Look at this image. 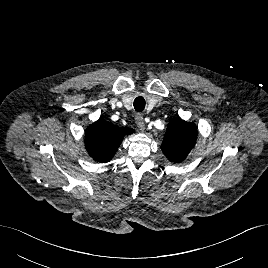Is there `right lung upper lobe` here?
<instances>
[{
	"instance_id": "right-lung-upper-lobe-1",
	"label": "right lung upper lobe",
	"mask_w": 268,
	"mask_h": 268,
	"mask_svg": "<svg viewBox=\"0 0 268 268\" xmlns=\"http://www.w3.org/2000/svg\"><path fill=\"white\" fill-rule=\"evenodd\" d=\"M134 133L131 128H121L99 119L88 126L85 133V147L93 160L109 162L116 154L125 135Z\"/></svg>"
}]
</instances>
